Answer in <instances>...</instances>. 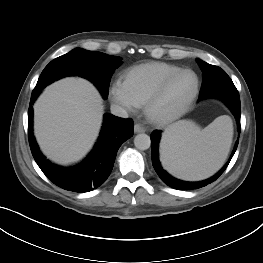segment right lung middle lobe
I'll use <instances>...</instances> for the list:
<instances>
[{
  "label": "right lung middle lobe",
  "instance_id": "dd1d6c3e",
  "mask_svg": "<svg viewBox=\"0 0 263 263\" xmlns=\"http://www.w3.org/2000/svg\"><path fill=\"white\" fill-rule=\"evenodd\" d=\"M120 61L117 56L77 48L51 61L42 71L34 89L42 90L57 79L78 75L93 82L106 99L112 72Z\"/></svg>",
  "mask_w": 263,
  "mask_h": 263
}]
</instances>
